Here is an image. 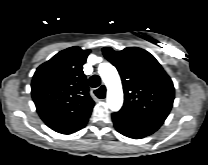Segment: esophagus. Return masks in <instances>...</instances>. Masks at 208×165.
<instances>
[{
	"instance_id": "34e87169",
	"label": "esophagus",
	"mask_w": 208,
	"mask_h": 165,
	"mask_svg": "<svg viewBox=\"0 0 208 165\" xmlns=\"http://www.w3.org/2000/svg\"><path fill=\"white\" fill-rule=\"evenodd\" d=\"M101 87H103L105 89V86L104 85H102ZM101 100H105V97L103 99H101Z\"/></svg>"
}]
</instances>
